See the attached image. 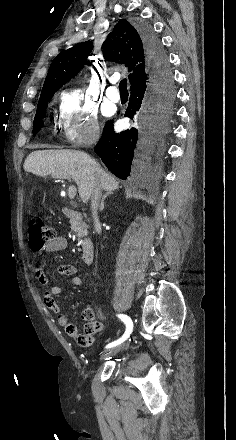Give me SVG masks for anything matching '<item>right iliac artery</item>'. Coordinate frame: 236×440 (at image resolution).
I'll return each mask as SVG.
<instances>
[{
    "mask_svg": "<svg viewBox=\"0 0 236 440\" xmlns=\"http://www.w3.org/2000/svg\"><path fill=\"white\" fill-rule=\"evenodd\" d=\"M118 317L125 323L126 331H125L124 335L120 339H118L117 341H114V342L108 344L106 346V348H111L113 346L121 344L123 341H125L130 336V334H131V332L133 330V323H132V320L130 319V317H128L127 315H124V314H119Z\"/></svg>",
    "mask_w": 236,
    "mask_h": 440,
    "instance_id": "obj_1",
    "label": "right iliac artery"
}]
</instances>
